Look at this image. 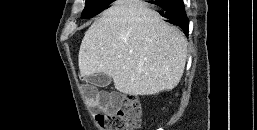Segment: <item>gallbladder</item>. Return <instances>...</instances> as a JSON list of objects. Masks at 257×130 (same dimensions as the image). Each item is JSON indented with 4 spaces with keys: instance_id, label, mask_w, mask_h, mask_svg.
I'll return each mask as SVG.
<instances>
[{
    "instance_id": "bac80fb5",
    "label": "gallbladder",
    "mask_w": 257,
    "mask_h": 130,
    "mask_svg": "<svg viewBox=\"0 0 257 130\" xmlns=\"http://www.w3.org/2000/svg\"><path fill=\"white\" fill-rule=\"evenodd\" d=\"M111 77L107 74H96L86 77V81L97 86V87H106L111 83Z\"/></svg>"
}]
</instances>
